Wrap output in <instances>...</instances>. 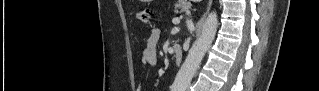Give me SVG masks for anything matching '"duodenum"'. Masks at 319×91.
<instances>
[{
    "instance_id": "duodenum-1",
    "label": "duodenum",
    "mask_w": 319,
    "mask_h": 91,
    "mask_svg": "<svg viewBox=\"0 0 319 91\" xmlns=\"http://www.w3.org/2000/svg\"><path fill=\"white\" fill-rule=\"evenodd\" d=\"M172 51H173V54H174V56H175L176 62H177V63L181 62V59H182V49H181L180 45L174 44V45L172 46Z\"/></svg>"
}]
</instances>
